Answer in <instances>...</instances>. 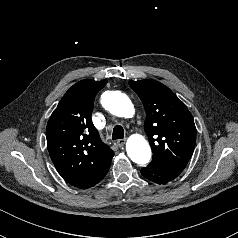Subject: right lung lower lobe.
I'll list each match as a JSON object with an SVG mask.
<instances>
[{
  "instance_id": "98d812e1",
  "label": "right lung lower lobe",
  "mask_w": 238,
  "mask_h": 238,
  "mask_svg": "<svg viewBox=\"0 0 238 238\" xmlns=\"http://www.w3.org/2000/svg\"><path fill=\"white\" fill-rule=\"evenodd\" d=\"M109 168L106 169L104 172H102L98 177H96L95 179H93L92 181L84 184L83 186H81L80 188L82 189H87V188H90L92 186H94L95 184H97L98 182H100L104 177L105 175L107 174Z\"/></svg>"
}]
</instances>
